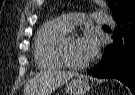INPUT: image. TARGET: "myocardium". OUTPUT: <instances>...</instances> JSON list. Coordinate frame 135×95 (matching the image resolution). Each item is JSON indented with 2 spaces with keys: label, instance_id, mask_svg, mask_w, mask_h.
<instances>
[{
  "label": "myocardium",
  "instance_id": "myocardium-1",
  "mask_svg": "<svg viewBox=\"0 0 135 95\" xmlns=\"http://www.w3.org/2000/svg\"><path fill=\"white\" fill-rule=\"evenodd\" d=\"M73 36H76V35L75 34H67L62 39V41L59 45L58 54H59V58L61 59L62 63L65 66L70 67V68L79 69V68L85 67L87 65V62H82V63L73 62L72 60L69 59V57L67 55V44Z\"/></svg>",
  "mask_w": 135,
  "mask_h": 95
}]
</instances>
